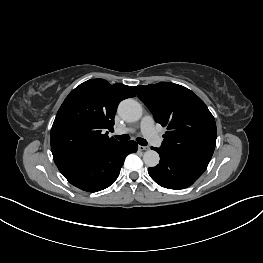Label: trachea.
<instances>
[{"label":"trachea","instance_id":"1","mask_svg":"<svg viewBox=\"0 0 263 263\" xmlns=\"http://www.w3.org/2000/svg\"><path fill=\"white\" fill-rule=\"evenodd\" d=\"M116 139L121 140V141H127L130 139V136L128 134H123V135H118L115 136ZM136 141L141 145V146H146L147 141L143 138L138 137Z\"/></svg>","mask_w":263,"mask_h":263}]
</instances>
